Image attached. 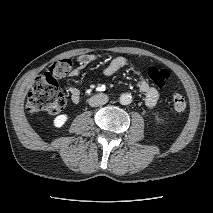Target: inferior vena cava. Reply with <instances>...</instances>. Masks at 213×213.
Here are the masks:
<instances>
[{"mask_svg": "<svg viewBox=\"0 0 213 213\" xmlns=\"http://www.w3.org/2000/svg\"><path fill=\"white\" fill-rule=\"evenodd\" d=\"M89 105L92 107H98L104 105L108 102V96L106 94L100 93L92 96L89 100Z\"/></svg>", "mask_w": 213, "mask_h": 213, "instance_id": "1", "label": "inferior vena cava"}]
</instances>
